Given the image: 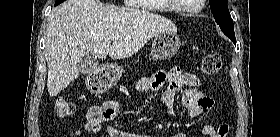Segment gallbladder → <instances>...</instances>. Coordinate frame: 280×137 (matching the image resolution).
I'll return each mask as SVG.
<instances>
[{
    "instance_id": "obj_1",
    "label": "gallbladder",
    "mask_w": 280,
    "mask_h": 137,
    "mask_svg": "<svg viewBox=\"0 0 280 137\" xmlns=\"http://www.w3.org/2000/svg\"><path fill=\"white\" fill-rule=\"evenodd\" d=\"M77 66L82 74H88L95 71L98 66V59L91 54H86L78 61Z\"/></svg>"
}]
</instances>
